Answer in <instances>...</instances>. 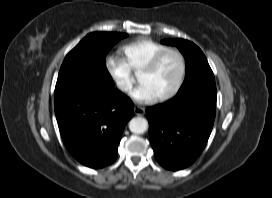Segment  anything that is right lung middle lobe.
<instances>
[{"label":"right lung middle lobe","instance_id":"right-lung-middle-lobe-1","mask_svg":"<svg viewBox=\"0 0 272 198\" xmlns=\"http://www.w3.org/2000/svg\"><path fill=\"white\" fill-rule=\"evenodd\" d=\"M126 36L117 32H94L83 38L62 63L54 97L85 87L112 89L113 80L105 57L111 47Z\"/></svg>","mask_w":272,"mask_h":198}]
</instances>
